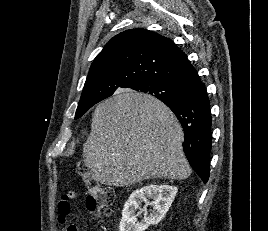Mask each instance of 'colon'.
<instances>
[{
    "mask_svg": "<svg viewBox=\"0 0 268 231\" xmlns=\"http://www.w3.org/2000/svg\"><path fill=\"white\" fill-rule=\"evenodd\" d=\"M76 170L86 183L87 200L86 206L89 212L97 217L107 215L114 199V193L110 187L105 186L100 181L94 179L88 170L87 165L79 161Z\"/></svg>",
    "mask_w": 268,
    "mask_h": 231,
    "instance_id": "1",
    "label": "colon"
}]
</instances>
